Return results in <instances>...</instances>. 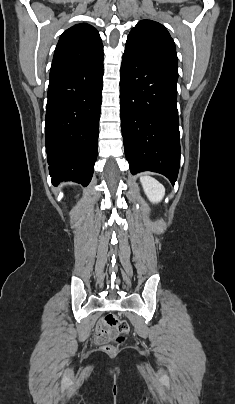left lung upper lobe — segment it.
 Wrapping results in <instances>:
<instances>
[{
  "instance_id": "5c2ea615",
  "label": "left lung upper lobe",
  "mask_w": 235,
  "mask_h": 404,
  "mask_svg": "<svg viewBox=\"0 0 235 404\" xmlns=\"http://www.w3.org/2000/svg\"><path fill=\"white\" fill-rule=\"evenodd\" d=\"M125 51L178 72L175 43L167 29L158 22L139 21L127 37Z\"/></svg>"
}]
</instances>
